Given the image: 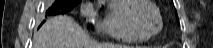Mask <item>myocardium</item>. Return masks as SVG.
I'll list each match as a JSON object with an SVG mask.
<instances>
[{"mask_svg": "<svg viewBox=\"0 0 213 48\" xmlns=\"http://www.w3.org/2000/svg\"><path fill=\"white\" fill-rule=\"evenodd\" d=\"M141 5L149 6V7H151L155 11V13L157 15L158 23H159V27H158V29L156 31L151 32V33H145L138 26L134 14H135V12L137 11V9ZM127 18H128V21H129L131 27L133 28V30L137 34H139V35H141L143 37H146L147 39L151 38V37H153L155 35H157L161 31V29L163 27V20H162L161 13H160L159 9L156 7V5L153 2H151V1H147V0H133L132 3H131V5H130V7H129V9H128V11H127Z\"/></svg>", "mask_w": 213, "mask_h": 48, "instance_id": "f54148a6", "label": "myocardium"}]
</instances>
